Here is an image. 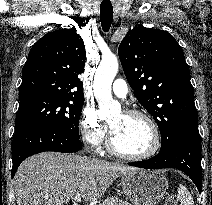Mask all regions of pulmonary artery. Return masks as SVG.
<instances>
[{
    "label": "pulmonary artery",
    "mask_w": 212,
    "mask_h": 205,
    "mask_svg": "<svg viewBox=\"0 0 212 205\" xmlns=\"http://www.w3.org/2000/svg\"><path fill=\"white\" fill-rule=\"evenodd\" d=\"M113 93L121 98H124L128 93V86L123 79H116L112 85Z\"/></svg>",
    "instance_id": "pulmonary-artery-1"
}]
</instances>
